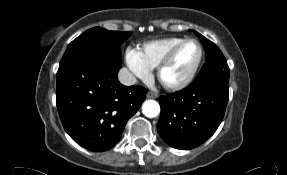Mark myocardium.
I'll return each mask as SVG.
<instances>
[{
    "mask_svg": "<svg viewBox=\"0 0 287 175\" xmlns=\"http://www.w3.org/2000/svg\"><path fill=\"white\" fill-rule=\"evenodd\" d=\"M196 43L198 45L199 48V56L197 59L196 64L194 65V67L192 68V70L190 71V73L181 81L178 82H166L163 79V72L164 70L172 63V61L174 60L175 56L177 55V53L180 51V49L185 46L188 43ZM203 56H204V51H203V47L201 45V43L197 40V39H184L182 42H180L179 44H177L176 46H174L169 52L168 54L163 58V60L159 63V65L156 68V75H157V79L160 82V84L167 90L170 91H179L182 90L184 88H186L189 84H191V82L194 80V78L196 77L200 66L202 64L203 61Z\"/></svg>",
    "mask_w": 287,
    "mask_h": 175,
    "instance_id": "obj_1",
    "label": "myocardium"
}]
</instances>
